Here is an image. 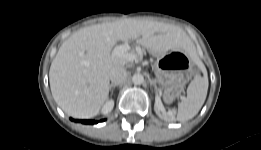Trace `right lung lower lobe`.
<instances>
[{"instance_id": "obj_1", "label": "right lung lower lobe", "mask_w": 261, "mask_h": 150, "mask_svg": "<svg viewBox=\"0 0 261 150\" xmlns=\"http://www.w3.org/2000/svg\"><path fill=\"white\" fill-rule=\"evenodd\" d=\"M101 121H104V120H101ZM80 122L83 124H96L97 123V121H94V120H81Z\"/></svg>"}]
</instances>
